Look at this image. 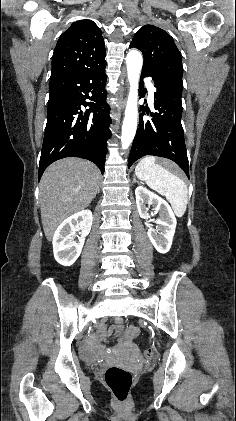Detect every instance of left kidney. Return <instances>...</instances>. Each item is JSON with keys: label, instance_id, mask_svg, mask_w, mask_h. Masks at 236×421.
<instances>
[{"label": "left kidney", "instance_id": "left-kidney-1", "mask_svg": "<svg viewBox=\"0 0 236 421\" xmlns=\"http://www.w3.org/2000/svg\"><path fill=\"white\" fill-rule=\"evenodd\" d=\"M135 196L141 219H150L147 204H152L154 206V213H159L160 219L154 221L156 223V229L149 227L147 235L158 253H162V255L168 253L177 225L171 206H169L164 198H161L158 194H154V192H151L148 188H144V186H137L135 188ZM150 221H153V219H150Z\"/></svg>", "mask_w": 236, "mask_h": 421}]
</instances>
